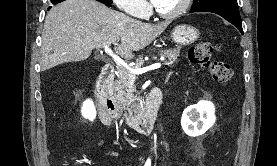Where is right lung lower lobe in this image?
I'll use <instances>...</instances> for the list:
<instances>
[{"label":"right lung lower lobe","mask_w":277,"mask_h":166,"mask_svg":"<svg viewBox=\"0 0 277 166\" xmlns=\"http://www.w3.org/2000/svg\"><path fill=\"white\" fill-rule=\"evenodd\" d=\"M64 0H51V3L52 4H54V5H56V4H58V3H60V2H63ZM97 1H99V2H102L103 4H105V5H111V3L112 2H108V1H106V0H97ZM51 8V6L49 7V9Z\"/></svg>","instance_id":"obj_1"}]
</instances>
